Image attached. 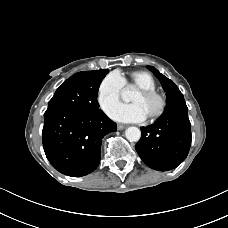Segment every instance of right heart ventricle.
<instances>
[{
    "label": "right heart ventricle",
    "mask_w": 228,
    "mask_h": 228,
    "mask_svg": "<svg viewBox=\"0 0 228 228\" xmlns=\"http://www.w3.org/2000/svg\"><path fill=\"white\" fill-rule=\"evenodd\" d=\"M119 74V73H118ZM123 84L129 87L146 88V89H156V81L153 76L142 70L132 71L127 75L119 74Z\"/></svg>",
    "instance_id": "right-heart-ventricle-1"
}]
</instances>
